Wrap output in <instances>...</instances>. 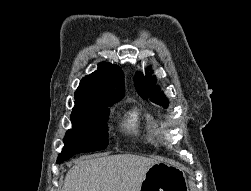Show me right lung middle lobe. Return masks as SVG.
<instances>
[{"instance_id":"obj_1","label":"right lung middle lobe","mask_w":251,"mask_h":191,"mask_svg":"<svg viewBox=\"0 0 251 191\" xmlns=\"http://www.w3.org/2000/svg\"><path fill=\"white\" fill-rule=\"evenodd\" d=\"M112 106V105H108ZM108 106H89L72 111L73 128L64 137V147L57 163H62L77 153L103 150L108 145Z\"/></svg>"}]
</instances>
